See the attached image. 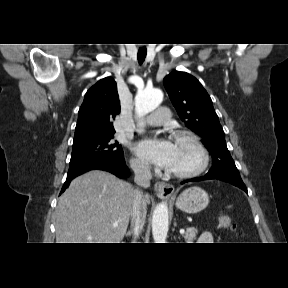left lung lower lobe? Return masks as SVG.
<instances>
[{
    "label": "left lung lower lobe",
    "mask_w": 288,
    "mask_h": 288,
    "mask_svg": "<svg viewBox=\"0 0 288 288\" xmlns=\"http://www.w3.org/2000/svg\"><path fill=\"white\" fill-rule=\"evenodd\" d=\"M211 179H217V180H222V181L228 182L234 186L239 187L240 189L244 190L247 193V188H246L245 184L243 183L242 179H234V178L223 177V176H209L206 174L205 176H202V177H196L193 179L185 180L182 182V184L186 183V182H190V181L197 182V181L211 180Z\"/></svg>",
    "instance_id": "left-lung-lower-lobe-1"
}]
</instances>
